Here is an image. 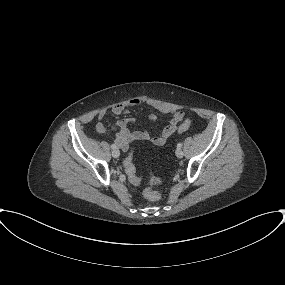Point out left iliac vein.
<instances>
[{"mask_svg":"<svg viewBox=\"0 0 285 285\" xmlns=\"http://www.w3.org/2000/svg\"><path fill=\"white\" fill-rule=\"evenodd\" d=\"M183 155H184V153H183L182 149H177V150H176V156H177L178 158H182Z\"/></svg>","mask_w":285,"mask_h":285,"instance_id":"4c4485c4","label":"left iliac vein"}]
</instances>
